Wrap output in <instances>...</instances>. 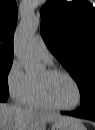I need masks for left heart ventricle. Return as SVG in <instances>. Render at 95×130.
<instances>
[{
	"instance_id": "obj_1",
	"label": "left heart ventricle",
	"mask_w": 95,
	"mask_h": 130,
	"mask_svg": "<svg viewBox=\"0 0 95 130\" xmlns=\"http://www.w3.org/2000/svg\"><path fill=\"white\" fill-rule=\"evenodd\" d=\"M42 84L50 99L64 107L76 104L78 92L73 82L64 75L50 76L47 71L43 72L36 80Z\"/></svg>"
}]
</instances>
